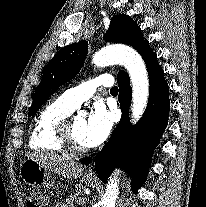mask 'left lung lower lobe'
<instances>
[{
    "mask_svg": "<svg viewBox=\"0 0 206 207\" xmlns=\"http://www.w3.org/2000/svg\"><path fill=\"white\" fill-rule=\"evenodd\" d=\"M149 74V100L140 121L132 126L128 110L132 98L130 79L127 73L117 78L119 103L123 112L122 120L115 128L104 148L96 156L95 170L102 182L106 183L115 167L129 170L134 178L132 190L143 184L155 147L167 126L169 116V89L163 70L157 62V55L150 47L141 55ZM91 158L82 160L89 164Z\"/></svg>",
    "mask_w": 206,
    "mask_h": 207,
    "instance_id": "obj_1",
    "label": "left lung lower lobe"
}]
</instances>
